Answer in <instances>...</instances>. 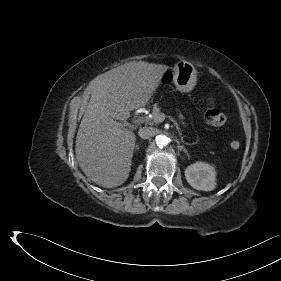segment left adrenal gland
I'll return each instance as SVG.
<instances>
[{
	"instance_id": "obj_1",
	"label": "left adrenal gland",
	"mask_w": 281,
	"mask_h": 281,
	"mask_svg": "<svg viewBox=\"0 0 281 281\" xmlns=\"http://www.w3.org/2000/svg\"><path fill=\"white\" fill-rule=\"evenodd\" d=\"M177 148H178L179 151H183V152H185L188 155V151L186 150V148L184 146H179L178 145Z\"/></svg>"
}]
</instances>
